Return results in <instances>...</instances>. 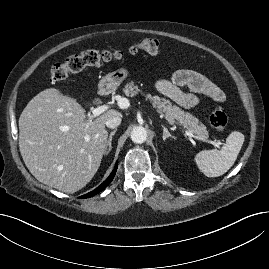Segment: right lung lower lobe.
I'll return each instance as SVG.
<instances>
[{
    "label": "right lung lower lobe",
    "instance_id": "right-lung-lower-lobe-1",
    "mask_svg": "<svg viewBox=\"0 0 269 269\" xmlns=\"http://www.w3.org/2000/svg\"><path fill=\"white\" fill-rule=\"evenodd\" d=\"M117 166H118V163H116V165H115L113 171L111 172V174L109 175V177L100 186H98L95 190H93V191H91L83 196H80L79 198H89V197H92V196L98 194L99 192L103 191L110 184L112 179L114 178L116 170H117Z\"/></svg>",
    "mask_w": 269,
    "mask_h": 269
}]
</instances>
